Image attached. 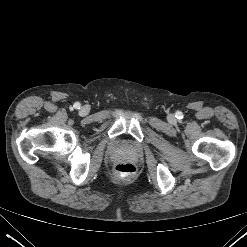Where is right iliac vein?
<instances>
[{
    "instance_id": "obj_1",
    "label": "right iliac vein",
    "mask_w": 247,
    "mask_h": 247,
    "mask_svg": "<svg viewBox=\"0 0 247 247\" xmlns=\"http://www.w3.org/2000/svg\"><path fill=\"white\" fill-rule=\"evenodd\" d=\"M80 114L81 115H87L88 114V109L86 107H82L81 110H80Z\"/></svg>"
}]
</instances>
